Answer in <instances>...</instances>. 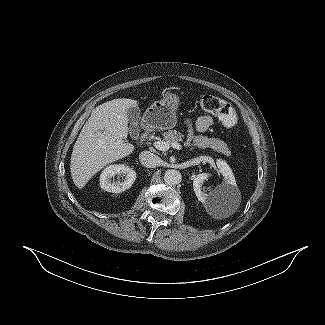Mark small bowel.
<instances>
[{"mask_svg": "<svg viewBox=\"0 0 325 325\" xmlns=\"http://www.w3.org/2000/svg\"><path fill=\"white\" fill-rule=\"evenodd\" d=\"M213 124V119L211 116L204 115L197 118L195 121L187 120L186 125L189 131V140H193L194 134L196 132H205Z\"/></svg>", "mask_w": 325, "mask_h": 325, "instance_id": "small-bowel-1", "label": "small bowel"}]
</instances>
